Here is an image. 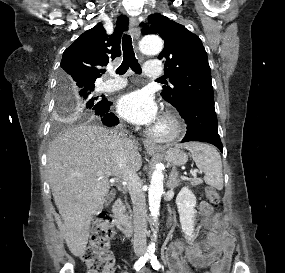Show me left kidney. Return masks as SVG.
<instances>
[{"mask_svg":"<svg viewBox=\"0 0 285 273\" xmlns=\"http://www.w3.org/2000/svg\"><path fill=\"white\" fill-rule=\"evenodd\" d=\"M176 204L180 216V224L183 233L188 237V239L193 238L194 225H195V206L196 197L191 190L184 187L176 198Z\"/></svg>","mask_w":285,"mask_h":273,"instance_id":"left-kidney-1","label":"left kidney"}]
</instances>
